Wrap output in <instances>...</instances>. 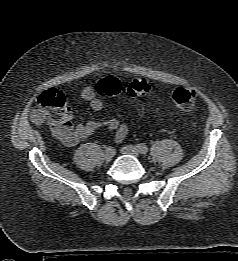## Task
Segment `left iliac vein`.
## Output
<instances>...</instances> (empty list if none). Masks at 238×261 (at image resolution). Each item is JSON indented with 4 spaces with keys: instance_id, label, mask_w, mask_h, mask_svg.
Instances as JSON below:
<instances>
[{
    "instance_id": "4c4485c4",
    "label": "left iliac vein",
    "mask_w": 238,
    "mask_h": 261,
    "mask_svg": "<svg viewBox=\"0 0 238 261\" xmlns=\"http://www.w3.org/2000/svg\"><path fill=\"white\" fill-rule=\"evenodd\" d=\"M121 152L123 154H128V155H132L136 158H139V151L137 150L136 147L132 146V145H126V146H123L121 148Z\"/></svg>"
}]
</instances>
